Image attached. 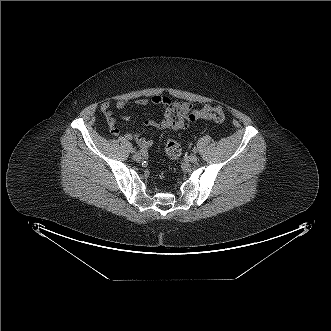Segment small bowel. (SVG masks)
<instances>
[{
    "mask_svg": "<svg viewBox=\"0 0 331 331\" xmlns=\"http://www.w3.org/2000/svg\"><path fill=\"white\" fill-rule=\"evenodd\" d=\"M139 106H161L163 109V118L160 122H155L153 120H145L144 126L151 128L153 134L161 135L167 130L180 131L185 130L190 127V125L195 122V120H190L189 116L198 110L195 106L186 101H172L168 97L155 95L150 98H143L136 101ZM127 103L125 101H117L112 104L111 102H104L100 109L106 118L107 124L110 128V133L112 135H118L119 130L116 127L117 116L112 112V107L114 106L118 110H122L126 107ZM121 119H128L129 115H120ZM127 140L135 141L141 148L148 150L153 146V141L146 139L139 134L128 132L125 134Z\"/></svg>",
    "mask_w": 331,
    "mask_h": 331,
    "instance_id": "small-bowel-1",
    "label": "small bowel"
}]
</instances>
